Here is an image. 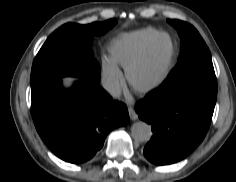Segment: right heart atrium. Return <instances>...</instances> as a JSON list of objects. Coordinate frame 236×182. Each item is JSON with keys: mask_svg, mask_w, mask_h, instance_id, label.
Segmentation results:
<instances>
[{"mask_svg": "<svg viewBox=\"0 0 236 182\" xmlns=\"http://www.w3.org/2000/svg\"><path fill=\"white\" fill-rule=\"evenodd\" d=\"M102 80L105 87L112 93L121 91L124 77L120 69L110 60H105L102 66Z\"/></svg>", "mask_w": 236, "mask_h": 182, "instance_id": "obj_1", "label": "right heart atrium"}]
</instances>
